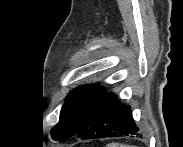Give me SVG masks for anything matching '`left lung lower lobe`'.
<instances>
[{
	"instance_id": "left-lung-lower-lobe-1",
	"label": "left lung lower lobe",
	"mask_w": 183,
	"mask_h": 147,
	"mask_svg": "<svg viewBox=\"0 0 183 147\" xmlns=\"http://www.w3.org/2000/svg\"><path fill=\"white\" fill-rule=\"evenodd\" d=\"M138 131L131 107L121 104L112 93H107L90 111L76 135L81 139H99L133 135Z\"/></svg>"
}]
</instances>
